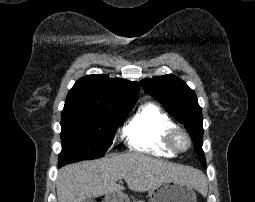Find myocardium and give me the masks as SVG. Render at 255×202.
<instances>
[{
  "instance_id": "obj_1",
  "label": "myocardium",
  "mask_w": 255,
  "mask_h": 202,
  "mask_svg": "<svg viewBox=\"0 0 255 202\" xmlns=\"http://www.w3.org/2000/svg\"><path fill=\"white\" fill-rule=\"evenodd\" d=\"M179 135L183 136L186 139L187 144L184 148L179 147L177 144V137ZM164 141L167 147L175 153L186 152L190 149L192 145V140L189 133L179 126H174L170 128L165 134Z\"/></svg>"
}]
</instances>
